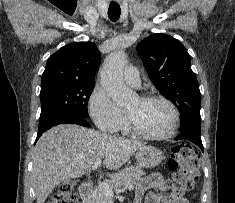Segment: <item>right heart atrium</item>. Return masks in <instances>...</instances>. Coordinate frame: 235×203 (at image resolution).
Wrapping results in <instances>:
<instances>
[{"mask_svg": "<svg viewBox=\"0 0 235 203\" xmlns=\"http://www.w3.org/2000/svg\"><path fill=\"white\" fill-rule=\"evenodd\" d=\"M88 111L96 126L108 133L118 131L125 120L123 110L113 103L101 86L93 89L88 100Z\"/></svg>", "mask_w": 235, "mask_h": 203, "instance_id": "right-heart-atrium-1", "label": "right heart atrium"}]
</instances>
